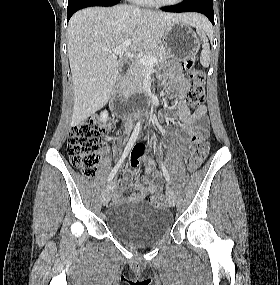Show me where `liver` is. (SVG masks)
I'll use <instances>...</instances> for the list:
<instances>
[{
  "label": "liver",
  "mask_w": 280,
  "mask_h": 285,
  "mask_svg": "<svg viewBox=\"0 0 280 285\" xmlns=\"http://www.w3.org/2000/svg\"><path fill=\"white\" fill-rule=\"evenodd\" d=\"M176 22L197 27L207 21L194 13H162L130 5L92 7L75 13L67 30L74 94L71 125L86 120L111 96L120 63L115 54L104 49H114L128 39L132 51L154 49L166 29Z\"/></svg>",
  "instance_id": "obj_1"
}]
</instances>
